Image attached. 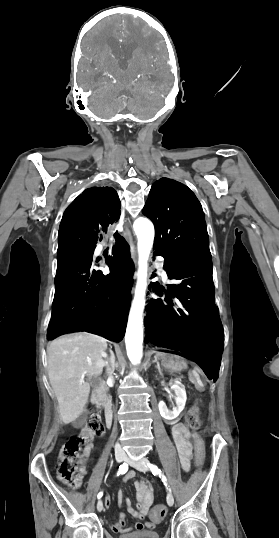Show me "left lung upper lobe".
I'll use <instances>...</instances> for the list:
<instances>
[{
  "label": "left lung upper lobe",
  "instance_id": "1",
  "mask_svg": "<svg viewBox=\"0 0 279 538\" xmlns=\"http://www.w3.org/2000/svg\"><path fill=\"white\" fill-rule=\"evenodd\" d=\"M142 213L154 223L155 250L182 262H212L204 213L187 186L168 178L157 180Z\"/></svg>",
  "mask_w": 279,
  "mask_h": 538
}]
</instances>
